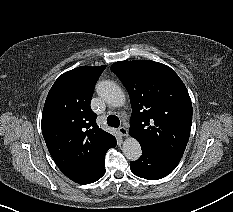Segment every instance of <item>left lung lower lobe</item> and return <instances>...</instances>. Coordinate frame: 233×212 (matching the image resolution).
Segmentation results:
<instances>
[{"label":"left lung lower lobe","mask_w":233,"mask_h":212,"mask_svg":"<svg viewBox=\"0 0 233 212\" xmlns=\"http://www.w3.org/2000/svg\"><path fill=\"white\" fill-rule=\"evenodd\" d=\"M142 147L141 157L130 163L134 175L147 179L158 180L170 174L178 165L181 158L172 157L165 153Z\"/></svg>","instance_id":"left-lung-lower-lobe-1"}]
</instances>
